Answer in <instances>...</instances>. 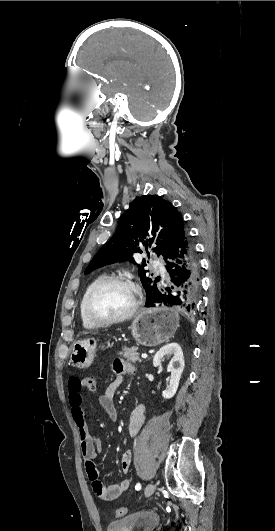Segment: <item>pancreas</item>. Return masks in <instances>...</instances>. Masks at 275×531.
<instances>
[{
	"mask_svg": "<svg viewBox=\"0 0 275 531\" xmlns=\"http://www.w3.org/2000/svg\"><path fill=\"white\" fill-rule=\"evenodd\" d=\"M138 347H122V351H119L118 355H123L124 359L130 361V363H141L142 359H139V353H137Z\"/></svg>",
	"mask_w": 275,
	"mask_h": 531,
	"instance_id": "cf45deb5",
	"label": "pancreas"
}]
</instances>
